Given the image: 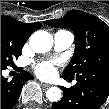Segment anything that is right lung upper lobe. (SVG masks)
<instances>
[{
	"label": "right lung upper lobe",
	"mask_w": 109,
	"mask_h": 109,
	"mask_svg": "<svg viewBox=\"0 0 109 109\" xmlns=\"http://www.w3.org/2000/svg\"><path fill=\"white\" fill-rule=\"evenodd\" d=\"M41 27L40 23H22L11 17L1 16V31L26 42Z\"/></svg>",
	"instance_id": "obj_1"
}]
</instances>
